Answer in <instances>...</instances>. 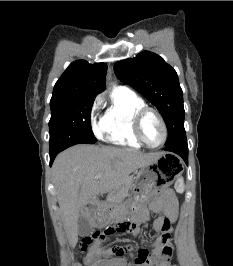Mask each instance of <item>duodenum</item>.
Segmentation results:
<instances>
[{
    "label": "duodenum",
    "instance_id": "duodenum-1",
    "mask_svg": "<svg viewBox=\"0 0 233 266\" xmlns=\"http://www.w3.org/2000/svg\"><path fill=\"white\" fill-rule=\"evenodd\" d=\"M94 201H97L98 199H99V195L98 194H96V195H94Z\"/></svg>",
    "mask_w": 233,
    "mask_h": 266
}]
</instances>
